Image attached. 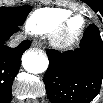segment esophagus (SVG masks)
<instances>
[{"instance_id":"1","label":"esophagus","mask_w":103,"mask_h":103,"mask_svg":"<svg viewBox=\"0 0 103 103\" xmlns=\"http://www.w3.org/2000/svg\"><path fill=\"white\" fill-rule=\"evenodd\" d=\"M33 47H36V48H40L41 47V43L40 42H37V41H34L32 43Z\"/></svg>"}]
</instances>
